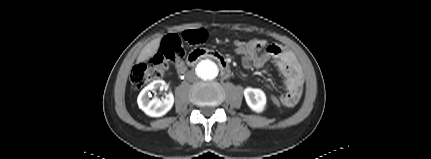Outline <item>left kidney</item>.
Here are the masks:
<instances>
[{"instance_id":"obj_1","label":"left kidney","mask_w":431,"mask_h":159,"mask_svg":"<svg viewBox=\"0 0 431 159\" xmlns=\"http://www.w3.org/2000/svg\"><path fill=\"white\" fill-rule=\"evenodd\" d=\"M244 97L251 110L257 113L264 111L266 106V95L261 89L247 87L244 89Z\"/></svg>"}]
</instances>
